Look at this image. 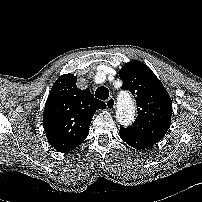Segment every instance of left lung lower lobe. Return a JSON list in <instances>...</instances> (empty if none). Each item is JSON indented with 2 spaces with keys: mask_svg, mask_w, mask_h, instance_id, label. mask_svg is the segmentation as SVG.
Segmentation results:
<instances>
[{
  "mask_svg": "<svg viewBox=\"0 0 202 202\" xmlns=\"http://www.w3.org/2000/svg\"><path fill=\"white\" fill-rule=\"evenodd\" d=\"M120 137L123 141H125L129 146H132L136 149H146L153 145H155L159 140H155L152 138H146L137 136L135 134L130 133L128 130L124 128H120Z\"/></svg>",
  "mask_w": 202,
  "mask_h": 202,
  "instance_id": "obj_1",
  "label": "left lung lower lobe"
}]
</instances>
